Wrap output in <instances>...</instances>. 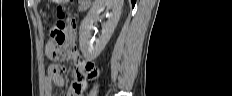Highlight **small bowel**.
<instances>
[{
	"mask_svg": "<svg viewBox=\"0 0 232 96\" xmlns=\"http://www.w3.org/2000/svg\"><path fill=\"white\" fill-rule=\"evenodd\" d=\"M71 14L72 15H66V20H67L66 35H68V39H77L78 32L81 31V28L78 27V20L75 19V15L77 13L73 11ZM53 47H54L53 44L50 42L46 44L47 50ZM71 57L77 58L78 56L72 55ZM95 67H96L95 63H82V68H95ZM64 73H65L64 69H61L54 65L48 68L45 77V86H46L45 94L47 96L51 95L53 86L61 87L64 85L65 83ZM81 92H82L81 87L76 81L70 85L67 96H80Z\"/></svg>",
	"mask_w": 232,
	"mask_h": 96,
	"instance_id": "c3829d8e",
	"label": "small bowel"
}]
</instances>
